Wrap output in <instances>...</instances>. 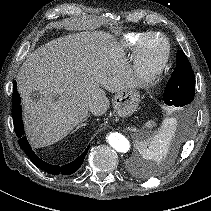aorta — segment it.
<instances>
[{
	"label": "aorta",
	"mask_w": 211,
	"mask_h": 211,
	"mask_svg": "<svg viewBox=\"0 0 211 211\" xmlns=\"http://www.w3.org/2000/svg\"><path fill=\"white\" fill-rule=\"evenodd\" d=\"M107 141L117 152L126 153L130 149V142L128 139L118 132L110 133L107 136Z\"/></svg>",
	"instance_id": "1"
}]
</instances>
